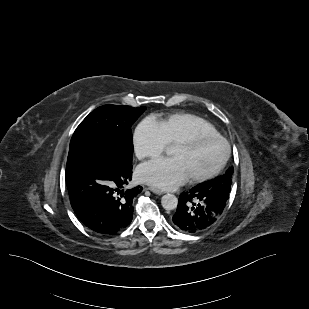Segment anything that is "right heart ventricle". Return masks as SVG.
<instances>
[{
  "label": "right heart ventricle",
  "mask_w": 309,
  "mask_h": 309,
  "mask_svg": "<svg viewBox=\"0 0 309 309\" xmlns=\"http://www.w3.org/2000/svg\"><path fill=\"white\" fill-rule=\"evenodd\" d=\"M154 121L160 127L168 144L175 143L195 132L218 134L216 128L210 122L191 113H174L157 117Z\"/></svg>",
  "instance_id": "e07e8e85"
}]
</instances>
